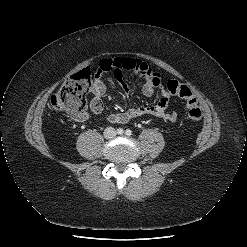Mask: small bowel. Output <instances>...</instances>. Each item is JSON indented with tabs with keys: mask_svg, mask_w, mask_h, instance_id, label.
<instances>
[{
	"mask_svg": "<svg viewBox=\"0 0 247 247\" xmlns=\"http://www.w3.org/2000/svg\"><path fill=\"white\" fill-rule=\"evenodd\" d=\"M110 71L114 73L126 95H129L130 88L123 79V72L131 71L136 76L142 78L141 91L146 97H152L157 89L160 92V99L154 105L136 106L112 113L107 118L109 122L114 124L126 123L131 119L146 115L160 117L166 121H174L176 119V111L170 110L171 94L164 86L161 75L153 71L144 61L130 57H107L99 63L97 74L91 86L93 99L90 103V109L94 114L99 115L103 112L101 98L106 92V85L102 79V75ZM71 117L77 122H85L89 119V114L87 112H81L71 115Z\"/></svg>",
	"mask_w": 247,
	"mask_h": 247,
	"instance_id": "1",
	"label": "small bowel"
}]
</instances>
